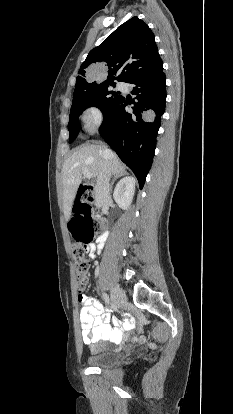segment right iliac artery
Returning a JSON list of instances; mask_svg holds the SVG:
<instances>
[{
  "instance_id": "82829eb1",
  "label": "right iliac artery",
  "mask_w": 233,
  "mask_h": 414,
  "mask_svg": "<svg viewBox=\"0 0 233 414\" xmlns=\"http://www.w3.org/2000/svg\"><path fill=\"white\" fill-rule=\"evenodd\" d=\"M103 298L108 305H112L109 299V296L106 293H103ZM113 307V305H112Z\"/></svg>"
}]
</instances>
